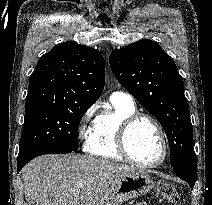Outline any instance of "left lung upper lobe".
<instances>
[{
	"mask_svg": "<svg viewBox=\"0 0 212 205\" xmlns=\"http://www.w3.org/2000/svg\"><path fill=\"white\" fill-rule=\"evenodd\" d=\"M109 63L119 83L163 126L175 171H197L190 111L173 59L152 40L113 50Z\"/></svg>",
	"mask_w": 212,
	"mask_h": 205,
	"instance_id": "left-lung-upper-lobe-1",
	"label": "left lung upper lobe"
}]
</instances>
